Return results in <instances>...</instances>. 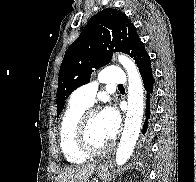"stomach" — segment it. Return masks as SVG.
<instances>
[{
    "mask_svg": "<svg viewBox=\"0 0 196 182\" xmlns=\"http://www.w3.org/2000/svg\"><path fill=\"white\" fill-rule=\"evenodd\" d=\"M96 174L98 175V177L102 180H104L105 182H107L110 179V169L106 164H102L100 163L96 170H95ZM89 182V181H86Z\"/></svg>",
    "mask_w": 196,
    "mask_h": 182,
    "instance_id": "1",
    "label": "stomach"
}]
</instances>
